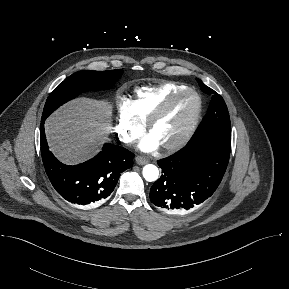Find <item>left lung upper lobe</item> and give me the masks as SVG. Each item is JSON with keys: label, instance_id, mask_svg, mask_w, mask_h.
I'll return each instance as SVG.
<instances>
[{"label": "left lung upper lobe", "instance_id": "1", "mask_svg": "<svg viewBox=\"0 0 289 289\" xmlns=\"http://www.w3.org/2000/svg\"><path fill=\"white\" fill-rule=\"evenodd\" d=\"M197 81L201 90L204 93L211 95V100L208 113L190 141L205 137L231 138L230 117L225 101L218 93L206 86L201 80L197 79Z\"/></svg>", "mask_w": 289, "mask_h": 289}]
</instances>
